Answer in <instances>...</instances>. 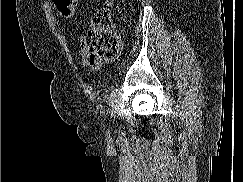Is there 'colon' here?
I'll use <instances>...</instances> for the list:
<instances>
[{"label": "colon", "mask_w": 243, "mask_h": 182, "mask_svg": "<svg viewBox=\"0 0 243 182\" xmlns=\"http://www.w3.org/2000/svg\"><path fill=\"white\" fill-rule=\"evenodd\" d=\"M76 2L77 0H54L56 9L63 18H71L74 15ZM113 3V0H108L107 6L98 9L92 15L88 51L92 57L101 60H112L121 50L119 36L113 30Z\"/></svg>", "instance_id": "5ec220e1"}]
</instances>
